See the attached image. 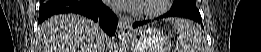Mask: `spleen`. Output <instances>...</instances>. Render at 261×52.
<instances>
[{"label":"spleen","instance_id":"spleen-1","mask_svg":"<svg viewBox=\"0 0 261 52\" xmlns=\"http://www.w3.org/2000/svg\"><path fill=\"white\" fill-rule=\"evenodd\" d=\"M174 27L179 33V45L183 52H197L200 49L199 31L193 23L184 19H176Z\"/></svg>","mask_w":261,"mask_h":52}]
</instances>
